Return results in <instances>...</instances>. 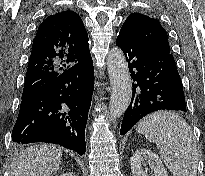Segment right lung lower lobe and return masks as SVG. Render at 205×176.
Wrapping results in <instances>:
<instances>
[{
  "label": "right lung lower lobe",
  "mask_w": 205,
  "mask_h": 176,
  "mask_svg": "<svg viewBox=\"0 0 205 176\" xmlns=\"http://www.w3.org/2000/svg\"><path fill=\"white\" fill-rule=\"evenodd\" d=\"M94 89L91 55L22 98L12 130L16 144H59L82 155Z\"/></svg>",
  "instance_id": "98d812e1"
}]
</instances>
